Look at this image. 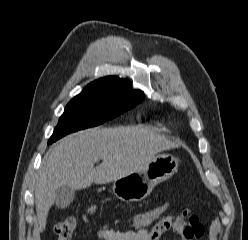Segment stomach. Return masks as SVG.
Returning a JSON list of instances; mask_svg holds the SVG:
<instances>
[{
	"instance_id": "stomach-1",
	"label": "stomach",
	"mask_w": 248,
	"mask_h": 240,
	"mask_svg": "<svg viewBox=\"0 0 248 240\" xmlns=\"http://www.w3.org/2000/svg\"><path fill=\"white\" fill-rule=\"evenodd\" d=\"M179 161L170 154H160L131 173L113 182V193L130 203L146 198L154 187L177 172Z\"/></svg>"
}]
</instances>
